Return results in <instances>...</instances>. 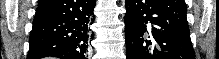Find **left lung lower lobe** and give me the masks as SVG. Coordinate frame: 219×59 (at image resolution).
Here are the masks:
<instances>
[{
	"instance_id": "obj_1",
	"label": "left lung lower lobe",
	"mask_w": 219,
	"mask_h": 59,
	"mask_svg": "<svg viewBox=\"0 0 219 59\" xmlns=\"http://www.w3.org/2000/svg\"><path fill=\"white\" fill-rule=\"evenodd\" d=\"M184 0H126L127 59H195Z\"/></svg>"
}]
</instances>
